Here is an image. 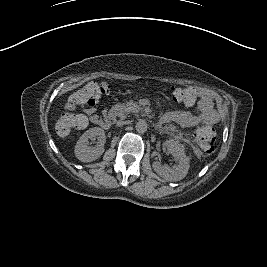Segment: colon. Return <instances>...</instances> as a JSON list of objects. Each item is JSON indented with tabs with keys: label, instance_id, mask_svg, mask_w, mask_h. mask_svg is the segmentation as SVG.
<instances>
[{
	"label": "colon",
	"instance_id": "obj_1",
	"mask_svg": "<svg viewBox=\"0 0 267 267\" xmlns=\"http://www.w3.org/2000/svg\"><path fill=\"white\" fill-rule=\"evenodd\" d=\"M111 87L104 83H90L78 91L74 97V102L82 106L95 105L104 100L110 93ZM176 102L188 105L190 93L186 88L173 91ZM88 121L81 114H63L56 124L57 134L62 137H68L73 128L81 129L86 127ZM196 144L202 154L212 153L216 149V133L211 126H205L199 129L196 134Z\"/></svg>",
	"mask_w": 267,
	"mask_h": 267
}]
</instances>
